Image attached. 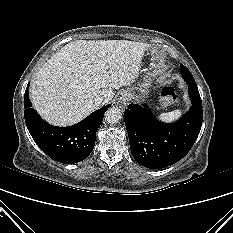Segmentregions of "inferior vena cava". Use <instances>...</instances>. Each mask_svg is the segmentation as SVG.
<instances>
[{"label":"inferior vena cava","instance_id":"1","mask_svg":"<svg viewBox=\"0 0 233 233\" xmlns=\"http://www.w3.org/2000/svg\"><path fill=\"white\" fill-rule=\"evenodd\" d=\"M94 105L96 106V107H98V106H100L103 102H104V98L103 97H101V96H98V97H96L95 99H94Z\"/></svg>","mask_w":233,"mask_h":233}]
</instances>
